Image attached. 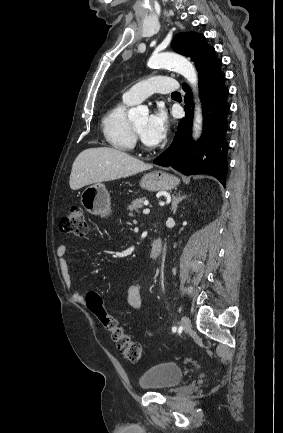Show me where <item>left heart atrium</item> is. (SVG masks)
Segmentation results:
<instances>
[{
  "label": "left heart atrium",
  "mask_w": 283,
  "mask_h": 433,
  "mask_svg": "<svg viewBox=\"0 0 283 433\" xmlns=\"http://www.w3.org/2000/svg\"><path fill=\"white\" fill-rule=\"evenodd\" d=\"M161 108L149 116L146 127L141 134L142 142L149 150L157 149L166 138L169 124L166 115Z\"/></svg>",
  "instance_id": "left-heart-atrium-1"
}]
</instances>
